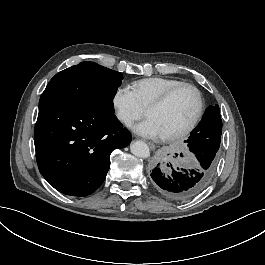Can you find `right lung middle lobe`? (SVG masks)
Listing matches in <instances>:
<instances>
[{
  "label": "right lung middle lobe",
  "instance_id": "1",
  "mask_svg": "<svg viewBox=\"0 0 265 265\" xmlns=\"http://www.w3.org/2000/svg\"><path fill=\"white\" fill-rule=\"evenodd\" d=\"M122 79L119 72L93 62H81L57 73L40 101L56 99L113 114L112 100Z\"/></svg>",
  "mask_w": 265,
  "mask_h": 265
}]
</instances>
